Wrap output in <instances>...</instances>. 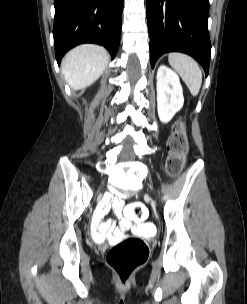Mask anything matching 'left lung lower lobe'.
I'll return each instance as SVG.
<instances>
[{
  "label": "left lung lower lobe",
  "instance_id": "0a47b994",
  "mask_svg": "<svg viewBox=\"0 0 247 304\" xmlns=\"http://www.w3.org/2000/svg\"><path fill=\"white\" fill-rule=\"evenodd\" d=\"M152 68L166 52L194 57L209 72V0H146Z\"/></svg>",
  "mask_w": 247,
  "mask_h": 304
}]
</instances>
